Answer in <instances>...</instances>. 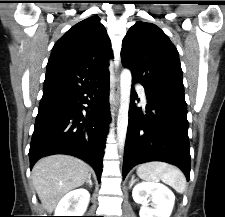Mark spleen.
I'll return each instance as SVG.
<instances>
[{
    "mask_svg": "<svg viewBox=\"0 0 225 217\" xmlns=\"http://www.w3.org/2000/svg\"><path fill=\"white\" fill-rule=\"evenodd\" d=\"M137 175L147 181L161 180L181 194L186 188V178L182 171L166 162L152 161L141 164L137 168Z\"/></svg>",
    "mask_w": 225,
    "mask_h": 217,
    "instance_id": "spleen-1",
    "label": "spleen"
}]
</instances>
